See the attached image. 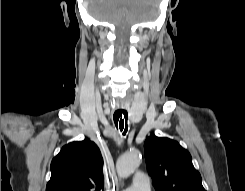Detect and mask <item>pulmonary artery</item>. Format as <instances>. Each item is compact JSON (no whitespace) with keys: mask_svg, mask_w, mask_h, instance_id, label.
<instances>
[{"mask_svg":"<svg viewBox=\"0 0 245 191\" xmlns=\"http://www.w3.org/2000/svg\"><path fill=\"white\" fill-rule=\"evenodd\" d=\"M123 191H151L149 177L142 172L136 173L133 177L132 184Z\"/></svg>","mask_w":245,"mask_h":191,"instance_id":"obj_1","label":"pulmonary artery"}]
</instances>
